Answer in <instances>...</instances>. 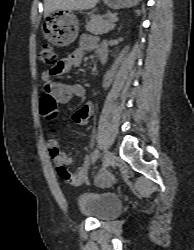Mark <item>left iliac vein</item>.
<instances>
[{"label": "left iliac vein", "mask_w": 194, "mask_h": 250, "mask_svg": "<svg viewBox=\"0 0 194 250\" xmlns=\"http://www.w3.org/2000/svg\"><path fill=\"white\" fill-rule=\"evenodd\" d=\"M114 159H115L114 154L111 151H106L103 161V168L104 169L109 168L113 164Z\"/></svg>", "instance_id": "obj_1"}]
</instances>
